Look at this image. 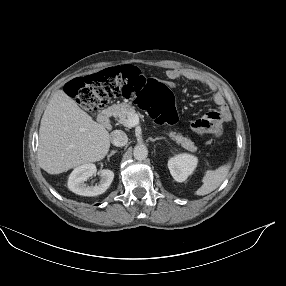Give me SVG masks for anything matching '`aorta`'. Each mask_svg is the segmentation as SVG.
I'll return each instance as SVG.
<instances>
[{"instance_id": "obj_1", "label": "aorta", "mask_w": 286, "mask_h": 286, "mask_svg": "<svg viewBox=\"0 0 286 286\" xmlns=\"http://www.w3.org/2000/svg\"><path fill=\"white\" fill-rule=\"evenodd\" d=\"M134 158L144 160L148 156V149L145 145H136L133 150Z\"/></svg>"}]
</instances>
